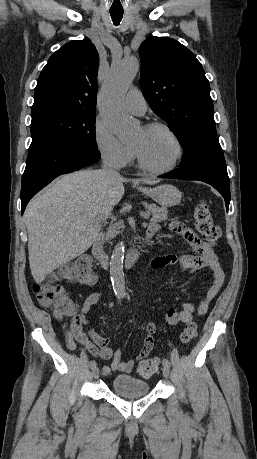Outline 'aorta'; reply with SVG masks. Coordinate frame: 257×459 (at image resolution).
<instances>
[{"instance_id": "aorta-1", "label": "aorta", "mask_w": 257, "mask_h": 459, "mask_svg": "<svg viewBox=\"0 0 257 459\" xmlns=\"http://www.w3.org/2000/svg\"><path fill=\"white\" fill-rule=\"evenodd\" d=\"M138 70L139 62L136 58L116 63L112 66L101 89L100 109L103 120L122 142L132 141L137 132V122L122 110L121 103ZM124 255L125 245L121 241L114 247L110 260L111 282L118 298L126 295Z\"/></svg>"}]
</instances>
